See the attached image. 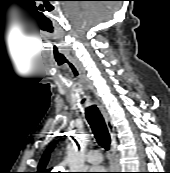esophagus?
<instances>
[{
	"label": "esophagus",
	"mask_w": 170,
	"mask_h": 173,
	"mask_svg": "<svg viewBox=\"0 0 170 173\" xmlns=\"http://www.w3.org/2000/svg\"><path fill=\"white\" fill-rule=\"evenodd\" d=\"M98 107L105 119L106 125L108 127L109 133L111 135V137L113 138L114 136V127L112 125V121L108 115V113L106 112V110L104 109V107L100 104H98ZM115 161H116V147L115 144L112 142L111 144V165L114 166L115 165Z\"/></svg>",
	"instance_id": "obj_1"
}]
</instances>
